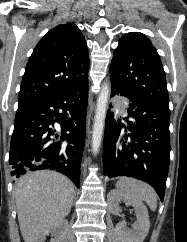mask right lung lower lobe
<instances>
[{"label":"right lung lower lobe","mask_w":187,"mask_h":242,"mask_svg":"<svg viewBox=\"0 0 187 242\" xmlns=\"http://www.w3.org/2000/svg\"><path fill=\"white\" fill-rule=\"evenodd\" d=\"M88 80L18 106L10 143L11 175L51 169L80 186ZM54 124H57L56 128Z\"/></svg>","instance_id":"right-lung-lower-lobe-1"}]
</instances>
